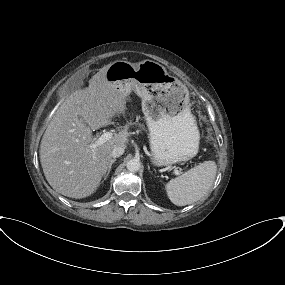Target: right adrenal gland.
I'll list each match as a JSON object with an SVG mask.
<instances>
[{
  "instance_id": "2a0ac1e0",
  "label": "right adrenal gland",
  "mask_w": 285,
  "mask_h": 285,
  "mask_svg": "<svg viewBox=\"0 0 285 285\" xmlns=\"http://www.w3.org/2000/svg\"><path fill=\"white\" fill-rule=\"evenodd\" d=\"M115 161H116V159H112V160L110 161V164L108 165L106 171L104 172V180H106V178L109 176V173H110V171H111L112 165H113V163H114Z\"/></svg>"
}]
</instances>
